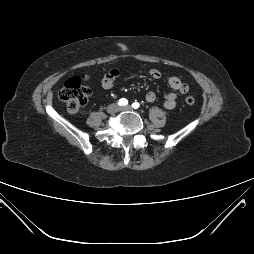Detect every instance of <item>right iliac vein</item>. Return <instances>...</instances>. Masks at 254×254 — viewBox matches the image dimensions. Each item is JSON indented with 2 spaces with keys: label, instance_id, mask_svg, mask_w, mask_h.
Instances as JSON below:
<instances>
[{
  "label": "right iliac vein",
  "instance_id": "63e3f726",
  "mask_svg": "<svg viewBox=\"0 0 254 254\" xmlns=\"http://www.w3.org/2000/svg\"><path fill=\"white\" fill-rule=\"evenodd\" d=\"M120 110V107L117 105V104H110L108 107H107V112L108 113H116Z\"/></svg>",
  "mask_w": 254,
  "mask_h": 254
}]
</instances>
